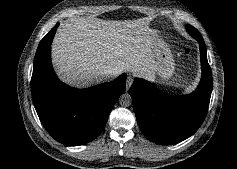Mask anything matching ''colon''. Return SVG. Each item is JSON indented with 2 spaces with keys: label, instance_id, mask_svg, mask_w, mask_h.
I'll list each match as a JSON object with an SVG mask.
<instances>
[{
  "label": "colon",
  "instance_id": "5ec220e1",
  "mask_svg": "<svg viewBox=\"0 0 237 169\" xmlns=\"http://www.w3.org/2000/svg\"><path fill=\"white\" fill-rule=\"evenodd\" d=\"M190 52H191V49H190L189 47H185V48H184V53H185L186 55H189Z\"/></svg>",
  "mask_w": 237,
  "mask_h": 169
}]
</instances>
